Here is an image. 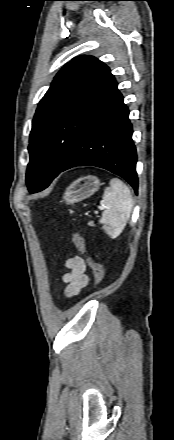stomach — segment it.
I'll return each mask as SVG.
<instances>
[{"label":"stomach","mask_w":174,"mask_h":440,"mask_svg":"<svg viewBox=\"0 0 174 440\" xmlns=\"http://www.w3.org/2000/svg\"><path fill=\"white\" fill-rule=\"evenodd\" d=\"M98 177L88 175L72 182L66 189L63 199L67 204H74L93 195L100 187Z\"/></svg>","instance_id":"0dacf381"}]
</instances>
